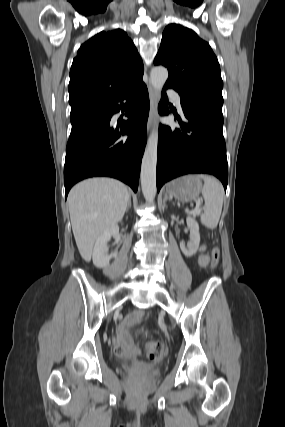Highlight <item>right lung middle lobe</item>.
I'll return each mask as SVG.
<instances>
[{
  "instance_id": "obj_1",
  "label": "right lung middle lobe",
  "mask_w": 285,
  "mask_h": 427,
  "mask_svg": "<svg viewBox=\"0 0 285 427\" xmlns=\"http://www.w3.org/2000/svg\"><path fill=\"white\" fill-rule=\"evenodd\" d=\"M77 113H71V117H73L74 115H76Z\"/></svg>"
}]
</instances>
